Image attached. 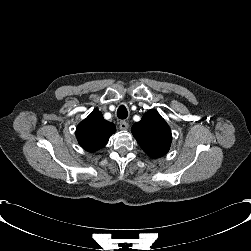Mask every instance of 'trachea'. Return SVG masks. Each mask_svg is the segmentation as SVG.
Listing matches in <instances>:
<instances>
[{
    "label": "trachea",
    "instance_id": "obj_1",
    "mask_svg": "<svg viewBox=\"0 0 251 251\" xmlns=\"http://www.w3.org/2000/svg\"><path fill=\"white\" fill-rule=\"evenodd\" d=\"M128 115L127 108L124 105H121L117 110V117L119 119H126Z\"/></svg>",
    "mask_w": 251,
    "mask_h": 251
}]
</instances>
